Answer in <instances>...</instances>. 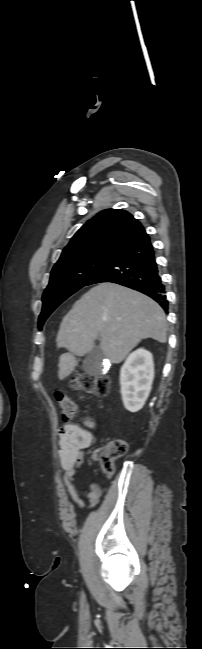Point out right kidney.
<instances>
[{
  "label": "right kidney",
  "instance_id": "obj_1",
  "mask_svg": "<svg viewBox=\"0 0 202 649\" xmlns=\"http://www.w3.org/2000/svg\"><path fill=\"white\" fill-rule=\"evenodd\" d=\"M153 379L152 354L142 348L132 352L120 370L121 396L127 410L137 412L144 406Z\"/></svg>",
  "mask_w": 202,
  "mask_h": 649
}]
</instances>
